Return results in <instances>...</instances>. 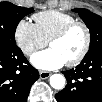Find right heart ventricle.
<instances>
[{
	"label": "right heart ventricle",
	"mask_w": 102,
	"mask_h": 102,
	"mask_svg": "<svg viewBox=\"0 0 102 102\" xmlns=\"http://www.w3.org/2000/svg\"><path fill=\"white\" fill-rule=\"evenodd\" d=\"M35 26L44 40L49 41L53 35L68 24L77 21L76 17L58 10H48L33 16Z\"/></svg>",
	"instance_id": "e07e8e85"
}]
</instances>
